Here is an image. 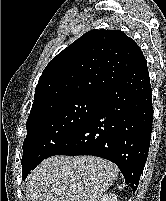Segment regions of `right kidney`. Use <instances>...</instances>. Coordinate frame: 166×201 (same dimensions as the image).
<instances>
[{
  "mask_svg": "<svg viewBox=\"0 0 166 201\" xmlns=\"http://www.w3.org/2000/svg\"><path fill=\"white\" fill-rule=\"evenodd\" d=\"M99 201H118L116 194L110 192L105 194Z\"/></svg>",
  "mask_w": 166,
  "mask_h": 201,
  "instance_id": "right-kidney-1",
  "label": "right kidney"
}]
</instances>
